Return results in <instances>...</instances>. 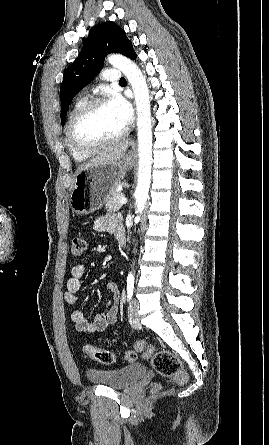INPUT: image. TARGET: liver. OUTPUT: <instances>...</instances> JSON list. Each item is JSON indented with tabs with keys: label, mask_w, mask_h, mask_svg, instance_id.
I'll list each match as a JSON object with an SVG mask.
<instances>
[{
	"label": "liver",
	"mask_w": 269,
	"mask_h": 445,
	"mask_svg": "<svg viewBox=\"0 0 269 445\" xmlns=\"http://www.w3.org/2000/svg\"><path fill=\"white\" fill-rule=\"evenodd\" d=\"M130 144H131L130 141H124L114 146L106 148L105 150L100 152L97 156L92 158L89 162L79 166L77 173L91 166H96L104 163H114L121 160V158H123Z\"/></svg>",
	"instance_id": "1"
}]
</instances>
